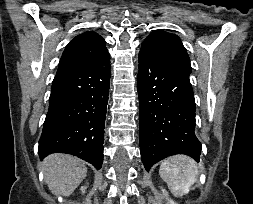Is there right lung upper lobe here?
<instances>
[{
	"label": "right lung upper lobe",
	"instance_id": "1",
	"mask_svg": "<svg viewBox=\"0 0 253 204\" xmlns=\"http://www.w3.org/2000/svg\"><path fill=\"white\" fill-rule=\"evenodd\" d=\"M105 52H108L105 40L100 35L92 31L84 32L76 36L66 46L56 75L93 61Z\"/></svg>",
	"mask_w": 253,
	"mask_h": 204
}]
</instances>
